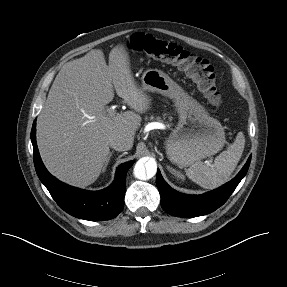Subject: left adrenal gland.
Instances as JSON below:
<instances>
[{"label": "left adrenal gland", "instance_id": "1", "mask_svg": "<svg viewBox=\"0 0 287 287\" xmlns=\"http://www.w3.org/2000/svg\"><path fill=\"white\" fill-rule=\"evenodd\" d=\"M167 169L168 171L173 174L174 176L178 177V178H181V179H184V176L177 170L173 169L172 167L170 166H167Z\"/></svg>", "mask_w": 287, "mask_h": 287}]
</instances>
